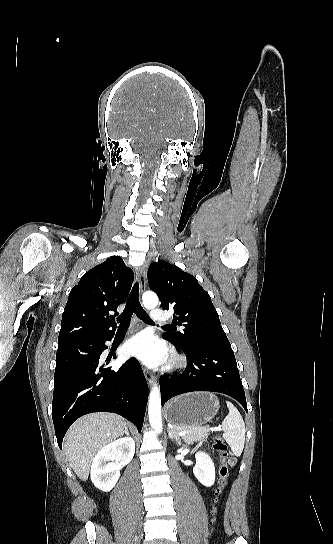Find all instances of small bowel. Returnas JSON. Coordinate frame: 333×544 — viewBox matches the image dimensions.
<instances>
[{
    "mask_svg": "<svg viewBox=\"0 0 333 544\" xmlns=\"http://www.w3.org/2000/svg\"><path fill=\"white\" fill-rule=\"evenodd\" d=\"M229 463H230V465H234V464H235V458H231V459L229 460Z\"/></svg>",
    "mask_w": 333,
    "mask_h": 544,
    "instance_id": "1",
    "label": "small bowel"
}]
</instances>
